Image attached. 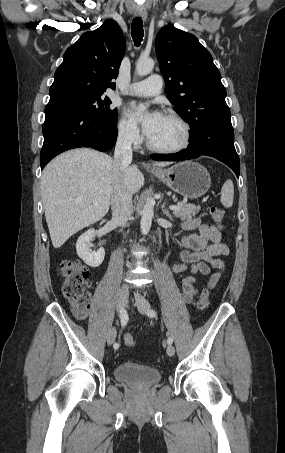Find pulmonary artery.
Wrapping results in <instances>:
<instances>
[{"mask_svg": "<svg viewBox=\"0 0 285 453\" xmlns=\"http://www.w3.org/2000/svg\"><path fill=\"white\" fill-rule=\"evenodd\" d=\"M162 85V77L158 74H153L145 80L131 83L124 93L128 95L145 97L155 96L161 92Z\"/></svg>", "mask_w": 285, "mask_h": 453, "instance_id": "obj_1", "label": "pulmonary artery"}]
</instances>
